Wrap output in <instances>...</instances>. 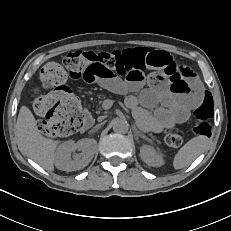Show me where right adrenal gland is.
Here are the masks:
<instances>
[{
  "instance_id": "1",
  "label": "right adrenal gland",
  "mask_w": 231,
  "mask_h": 231,
  "mask_svg": "<svg viewBox=\"0 0 231 231\" xmlns=\"http://www.w3.org/2000/svg\"><path fill=\"white\" fill-rule=\"evenodd\" d=\"M99 128H93L89 133H93L95 131H97Z\"/></svg>"
}]
</instances>
